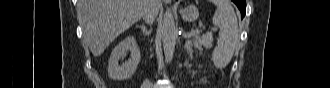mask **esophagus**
<instances>
[{"mask_svg": "<svg viewBox=\"0 0 330 88\" xmlns=\"http://www.w3.org/2000/svg\"><path fill=\"white\" fill-rule=\"evenodd\" d=\"M164 2H166V3H171V0H164Z\"/></svg>", "mask_w": 330, "mask_h": 88, "instance_id": "1", "label": "esophagus"}]
</instances>
